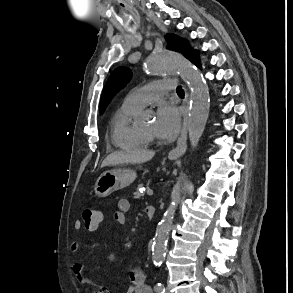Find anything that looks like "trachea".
<instances>
[{
	"mask_svg": "<svg viewBox=\"0 0 293 293\" xmlns=\"http://www.w3.org/2000/svg\"><path fill=\"white\" fill-rule=\"evenodd\" d=\"M177 93H179V94H180V93H183V90H182L181 87H178V88H177Z\"/></svg>",
	"mask_w": 293,
	"mask_h": 293,
	"instance_id": "obj_1",
	"label": "trachea"
}]
</instances>
